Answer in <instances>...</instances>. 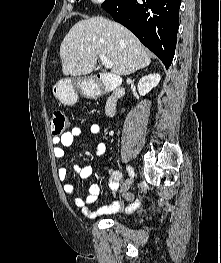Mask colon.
I'll return each instance as SVG.
<instances>
[{"label": "colon", "mask_w": 221, "mask_h": 263, "mask_svg": "<svg viewBox=\"0 0 221 263\" xmlns=\"http://www.w3.org/2000/svg\"><path fill=\"white\" fill-rule=\"evenodd\" d=\"M68 126L66 115L62 111H55L50 120V130L54 137L62 136Z\"/></svg>", "instance_id": "colon-1"}]
</instances>
